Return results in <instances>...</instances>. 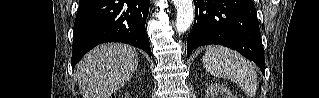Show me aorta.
I'll return each mask as SVG.
<instances>
[{
    "instance_id": "762f6f07",
    "label": "aorta",
    "mask_w": 319,
    "mask_h": 98,
    "mask_svg": "<svg viewBox=\"0 0 319 98\" xmlns=\"http://www.w3.org/2000/svg\"><path fill=\"white\" fill-rule=\"evenodd\" d=\"M177 9L176 30L178 33L187 31L194 19V7L192 0H173Z\"/></svg>"
}]
</instances>
